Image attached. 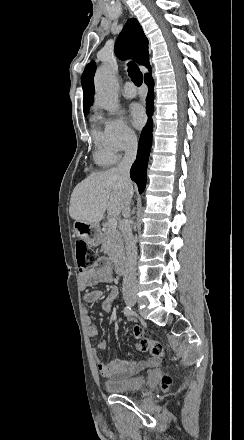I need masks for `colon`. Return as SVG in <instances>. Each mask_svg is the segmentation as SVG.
I'll return each instance as SVG.
<instances>
[{"label":"colon","mask_w":244,"mask_h":440,"mask_svg":"<svg viewBox=\"0 0 244 440\" xmlns=\"http://www.w3.org/2000/svg\"><path fill=\"white\" fill-rule=\"evenodd\" d=\"M76 264L79 272L85 271L89 266L95 265L99 261V254L95 249H89L85 241L79 240L75 244ZM134 337L138 342L139 351L149 354L155 358L164 357L165 350L159 341L142 336V329L134 327Z\"/></svg>","instance_id":"obj_1"}]
</instances>
